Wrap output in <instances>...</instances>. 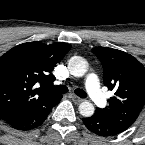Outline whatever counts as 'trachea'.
<instances>
[{
  "label": "trachea",
  "mask_w": 145,
  "mask_h": 145,
  "mask_svg": "<svg viewBox=\"0 0 145 145\" xmlns=\"http://www.w3.org/2000/svg\"><path fill=\"white\" fill-rule=\"evenodd\" d=\"M45 89L48 90V91H52L54 93H59V94L66 93L68 91V88L65 85L46 86ZM74 92L77 96H79L81 98H86L87 97L86 92L82 89H76Z\"/></svg>",
  "instance_id": "trachea-1"
}]
</instances>
